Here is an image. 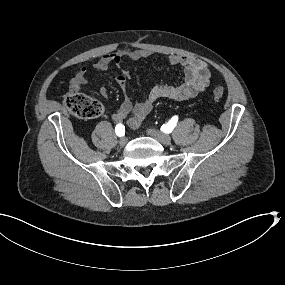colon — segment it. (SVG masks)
Instances as JSON below:
<instances>
[{
    "mask_svg": "<svg viewBox=\"0 0 285 285\" xmlns=\"http://www.w3.org/2000/svg\"><path fill=\"white\" fill-rule=\"evenodd\" d=\"M224 96L222 87L213 90V97L216 100ZM64 106L74 116L80 119H95L103 114V106L99 101L81 93H68L63 100Z\"/></svg>",
    "mask_w": 285,
    "mask_h": 285,
    "instance_id": "1",
    "label": "colon"
}]
</instances>
